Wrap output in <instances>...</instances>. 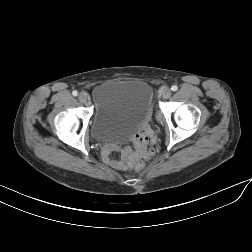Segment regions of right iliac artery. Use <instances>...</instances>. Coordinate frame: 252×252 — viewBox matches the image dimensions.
Instances as JSON below:
<instances>
[{
	"instance_id": "1",
	"label": "right iliac artery",
	"mask_w": 252,
	"mask_h": 252,
	"mask_svg": "<svg viewBox=\"0 0 252 252\" xmlns=\"http://www.w3.org/2000/svg\"><path fill=\"white\" fill-rule=\"evenodd\" d=\"M72 95H73V96H77V95H78V92H77L76 90H74V91L72 92Z\"/></svg>"
}]
</instances>
